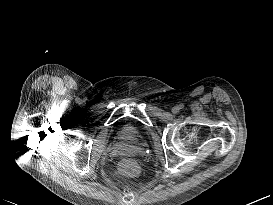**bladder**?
I'll list each match as a JSON object with an SVG mask.
<instances>
[{"label":"bladder","mask_w":273,"mask_h":205,"mask_svg":"<svg viewBox=\"0 0 273 205\" xmlns=\"http://www.w3.org/2000/svg\"><path fill=\"white\" fill-rule=\"evenodd\" d=\"M119 135L125 142L128 143H134L138 138L137 131L128 126H122L119 130Z\"/></svg>","instance_id":"1"}]
</instances>
